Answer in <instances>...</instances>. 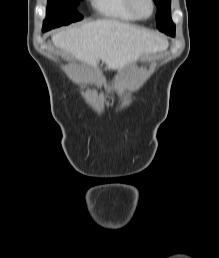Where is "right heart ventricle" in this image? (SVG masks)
Here are the masks:
<instances>
[{"label":"right heart ventricle","instance_id":"e07e8e85","mask_svg":"<svg viewBox=\"0 0 219 258\" xmlns=\"http://www.w3.org/2000/svg\"><path fill=\"white\" fill-rule=\"evenodd\" d=\"M95 10L105 18L122 21L134 22L136 17L128 6V0H91Z\"/></svg>","mask_w":219,"mask_h":258}]
</instances>
